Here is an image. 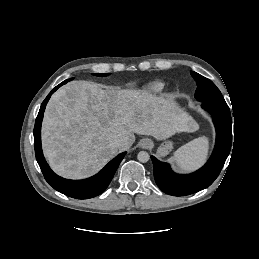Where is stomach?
Here are the masks:
<instances>
[{
    "label": "stomach",
    "instance_id": "1",
    "mask_svg": "<svg viewBox=\"0 0 259 259\" xmlns=\"http://www.w3.org/2000/svg\"><path fill=\"white\" fill-rule=\"evenodd\" d=\"M173 149L171 141H164L157 150V155L160 157L166 156Z\"/></svg>",
    "mask_w": 259,
    "mask_h": 259
}]
</instances>
